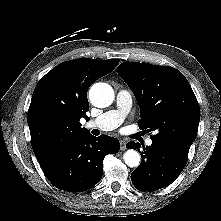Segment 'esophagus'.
<instances>
[{"label":"esophagus","instance_id":"1","mask_svg":"<svg viewBox=\"0 0 221 221\" xmlns=\"http://www.w3.org/2000/svg\"><path fill=\"white\" fill-rule=\"evenodd\" d=\"M126 149V142L121 140L120 141V150L124 151Z\"/></svg>","mask_w":221,"mask_h":221}]
</instances>
